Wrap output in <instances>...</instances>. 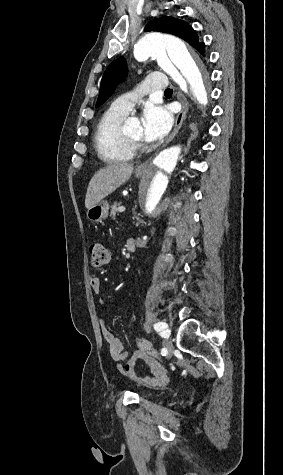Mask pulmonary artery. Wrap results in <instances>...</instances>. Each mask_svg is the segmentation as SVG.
<instances>
[{
  "label": "pulmonary artery",
  "instance_id": "e3ab8cb5",
  "mask_svg": "<svg viewBox=\"0 0 283 475\" xmlns=\"http://www.w3.org/2000/svg\"><path fill=\"white\" fill-rule=\"evenodd\" d=\"M139 88V93L137 88H129L128 94H123L118 97L112 104L120 109L130 111L134 106L136 100L144 96H153L155 93L154 89H169L170 81L169 80H139L137 83Z\"/></svg>",
  "mask_w": 283,
  "mask_h": 475
}]
</instances>
